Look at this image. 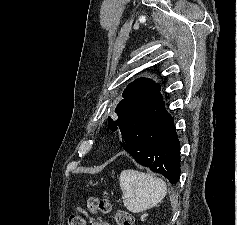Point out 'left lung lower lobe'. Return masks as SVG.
<instances>
[{"label":"left lung lower lobe","instance_id":"obj_1","mask_svg":"<svg viewBox=\"0 0 237 225\" xmlns=\"http://www.w3.org/2000/svg\"><path fill=\"white\" fill-rule=\"evenodd\" d=\"M120 142L139 164L175 184L180 176V143L164 102L139 107L118 124Z\"/></svg>","mask_w":237,"mask_h":225}]
</instances>
